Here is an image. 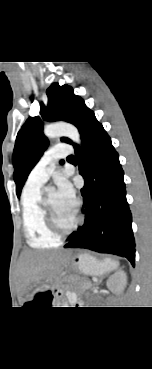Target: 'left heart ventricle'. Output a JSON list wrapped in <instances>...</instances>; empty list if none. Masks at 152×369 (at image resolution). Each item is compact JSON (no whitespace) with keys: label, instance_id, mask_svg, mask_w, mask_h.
<instances>
[{"label":"left heart ventricle","instance_id":"left-heart-ventricle-1","mask_svg":"<svg viewBox=\"0 0 152 369\" xmlns=\"http://www.w3.org/2000/svg\"><path fill=\"white\" fill-rule=\"evenodd\" d=\"M46 199H47V203L50 209L52 210L58 224L62 228H68L69 226H71V224L73 223L75 219L76 213L65 209L61 205L56 193H53L47 196Z\"/></svg>","mask_w":152,"mask_h":369}]
</instances>
